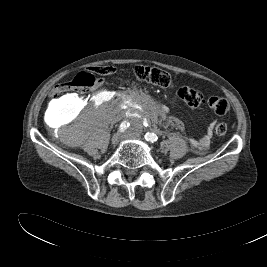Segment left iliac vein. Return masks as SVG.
Instances as JSON below:
<instances>
[{"label":"left iliac vein","instance_id":"left-iliac-vein-1","mask_svg":"<svg viewBox=\"0 0 267 267\" xmlns=\"http://www.w3.org/2000/svg\"><path fill=\"white\" fill-rule=\"evenodd\" d=\"M127 138L139 139V137H138L135 133H132V132H130V133L127 135Z\"/></svg>","mask_w":267,"mask_h":267}]
</instances>
